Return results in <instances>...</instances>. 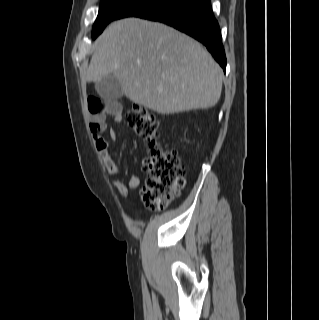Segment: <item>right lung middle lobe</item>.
I'll return each instance as SVG.
<instances>
[{"mask_svg":"<svg viewBox=\"0 0 319 320\" xmlns=\"http://www.w3.org/2000/svg\"><path fill=\"white\" fill-rule=\"evenodd\" d=\"M171 0H101L99 13L92 29L97 37L105 26L115 19L137 16L149 9L164 5Z\"/></svg>","mask_w":319,"mask_h":320,"instance_id":"obj_1","label":"right lung middle lobe"}]
</instances>
